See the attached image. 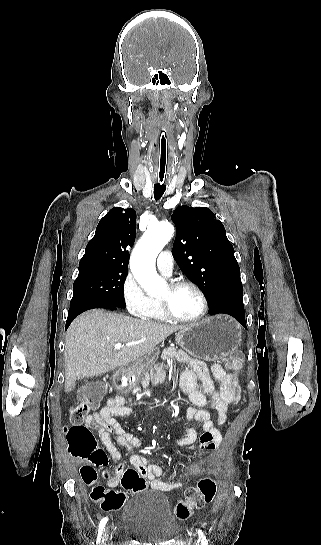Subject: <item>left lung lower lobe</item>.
Here are the masks:
<instances>
[{
	"label": "left lung lower lobe",
	"instance_id": "0a47b994",
	"mask_svg": "<svg viewBox=\"0 0 321 545\" xmlns=\"http://www.w3.org/2000/svg\"><path fill=\"white\" fill-rule=\"evenodd\" d=\"M210 315L224 313L236 318L244 327L245 312L243 306V287L242 283L228 286L219 291L212 300L209 301Z\"/></svg>",
	"mask_w": 321,
	"mask_h": 545
}]
</instances>
